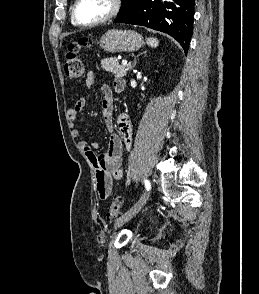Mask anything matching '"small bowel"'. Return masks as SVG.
Listing matches in <instances>:
<instances>
[{
    "label": "small bowel",
    "instance_id": "small-bowel-1",
    "mask_svg": "<svg viewBox=\"0 0 259 294\" xmlns=\"http://www.w3.org/2000/svg\"><path fill=\"white\" fill-rule=\"evenodd\" d=\"M85 83L87 88L93 85L94 75L92 72L87 75ZM124 88V80L116 78L113 82V90L120 93ZM99 91L102 95L101 114L106 126L111 131L108 149L105 153L97 154L94 151L97 144L90 145L86 141H81L79 145L94 167L98 194L101 199H106L111 193L113 182L123 178L122 157L124 150H129L132 145V125L129 117L125 113H120L118 116L119 133L115 131L112 90L108 85L103 84L99 87ZM85 105V97H80L75 105L68 109V119L73 125L71 134L74 138L80 135V130L74 126V123Z\"/></svg>",
    "mask_w": 259,
    "mask_h": 294
}]
</instances>
